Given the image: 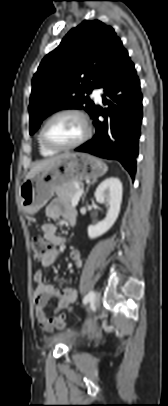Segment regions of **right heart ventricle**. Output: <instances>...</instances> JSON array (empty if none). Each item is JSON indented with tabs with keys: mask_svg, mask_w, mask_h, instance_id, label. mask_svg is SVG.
I'll list each match as a JSON object with an SVG mask.
<instances>
[{
	"mask_svg": "<svg viewBox=\"0 0 168 406\" xmlns=\"http://www.w3.org/2000/svg\"><path fill=\"white\" fill-rule=\"evenodd\" d=\"M37 143H38V147H39L40 154H41L42 156H52V155H54V154L57 152V151L50 150V149L46 148V147L42 144V142H41V140H40V137H39V134H38V136H37Z\"/></svg>",
	"mask_w": 168,
	"mask_h": 406,
	"instance_id": "1",
	"label": "right heart ventricle"
}]
</instances>
